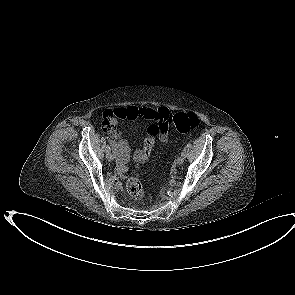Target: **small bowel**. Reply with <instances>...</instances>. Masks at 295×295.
<instances>
[{
    "instance_id": "c3829d8e",
    "label": "small bowel",
    "mask_w": 295,
    "mask_h": 295,
    "mask_svg": "<svg viewBox=\"0 0 295 295\" xmlns=\"http://www.w3.org/2000/svg\"><path fill=\"white\" fill-rule=\"evenodd\" d=\"M112 114V117L109 119L110 122L107 124L108 114ZM169 115V111L160 107L158 109H153L146 106H130L127 108H118L114 110H105L100 113L99 118L103 123L104 130L107 133L110 144L112 145L115 153L117 155V170L123 175L127 172L126 163L130 156V149L127 142L121 138L120 131L115 127L117 119H144V120H155L157 122L162 121ZM170 132H165L160 134V140L162 142H167ZM155 144V136L150 134L144 140V146L142 149H137L133 153V159L136 162L145 161L143 158H148L150 156V151H152Z\"/></svg>"
}]
</instances>
